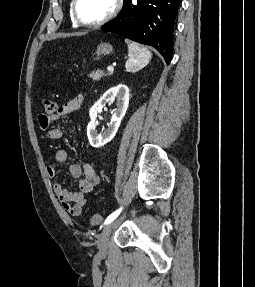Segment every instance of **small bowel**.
I'll return each instance as SVG.
<instances>
[{"label":"small bowel","mask_w":255,"mask_h":287,"mask_svg":"<svg viewBox=\"0 0 255 287\" xmlns=\"http://www.w3.org/2000/svg\"><path fill=\"white\" fill-rule=\"evenodd\" d=\"M83 103V96L78 95L62 104L52 115H41L39 123L41 129L47 132L51 140H61L64 136L63 130L54 125L58 119L77 111ZM69 158V153L65 149L55 152L54 159L57 163H63ZM72 177L79 179L77 190H68L61 182L53 184L54 193L60 202L63 211L70 216H79L88 203L87 195L94 193L100 183V178L94 167L89 163L72 164L69 167ZM47 175L51 178L56 177L58 171L55 165L46 167Z\"/></svg>","instance_id":"c3829d8e"}]
</instances>
